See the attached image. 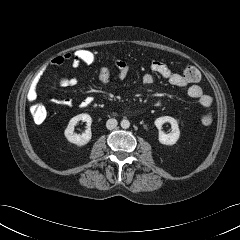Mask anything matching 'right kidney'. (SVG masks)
Here are the masks:
<instances>
[{
	"instance_id": "ca27d5eb",
	"label": "right kidney",
	"mask_w": 240,
	"mask_h": 240,
	"mask_svg": "<svg viewBox=\"0 0 240 240\" xmlns=\"http://www.w3.org/2000/svg\"><path fill=\"white\" fill-rule=\"evenodd\" d=\"M81 120L86 122L87 129L82 134H76L74 133V126ZM91 124L92 118L90 115L86 113L79 114L69 121L65 129L64 135L70 143L77 146H84L91 140L92 137Z\"/></svg>"
}]
</instances>
